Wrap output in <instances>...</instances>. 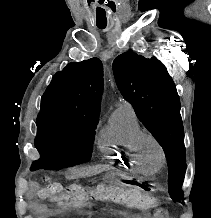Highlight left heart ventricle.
<instances>
[{
  "label": "left heart ventricle",
  "instance_id": "left-heart-ventricle-1",
  "mask_svg": "<svg viewBox=\"0 0 211 218\" xmlns=\"http://www.w3.org/2000/svg\"><path fill=\"white\" fill-rule=\"evenodd\" d=\"M142 157L143 159L153 165L158 166L159 164V153L157 147L151 141H146L142 147Z\"/></svg>",
  "mask_w": 211,
  "mask_h": 218
}]
</instances>
